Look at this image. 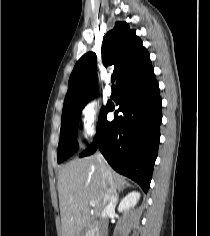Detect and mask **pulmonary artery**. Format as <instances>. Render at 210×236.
Returning <instances> with one entry per match:
<instances>
[{
    "label": "pulmonary artery",
    "instance_id": "e3ab8cb5",
    "mask_svg": "<svg viewBox=\"0 0 210 236\" xmlns=\"http://www.w3.org/2000/svg\"><path fill=\"white\" fill-rule=\"evenodd\" d=\"M105 92L108 96H111L112 95V89L109 85L106 86L105 88Z\"/></svg>",
    "mask_w": 210,
    "mask_h": 236
}]
</instances>
